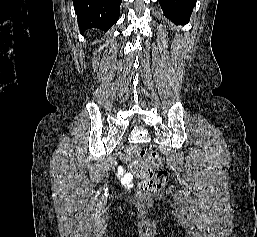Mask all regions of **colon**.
Masks as SVG:
<instances>
[{"instance_id": "5ec220e1", "label": "colon", "mask_w": 257, "mask_h": 237, "mask_svg": "<svg viewBox=\"0 0 257 237\" xmlns=\"http://www.w3.org/2000/svg\"><path fill=\"white\" fill-rule=\"evenodd\" d=\"M126 153L135 157L131 163V169L141 178L137 198L139 202L144 203L166 186L169 181V172L161 168L162 159L157 153L147 156L146 150L135 144L127 146Z\"/></svg>"}]
</instances>
